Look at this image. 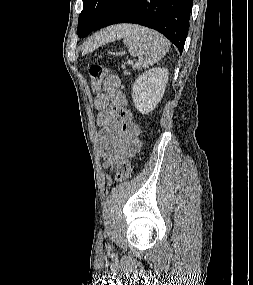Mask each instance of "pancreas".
<instances>
[{
	"instance_id": "obj_1",
	"label": "pancreas",
	"mask_w": 253,
	"mask_h": 285,
	"mask_svg": "<svg viewBox=\"0 0 253 285\" xmlns=\"http://www.w3.org/2000/svg\"><path fill=\"white\" fill-rule=\"evenodd\" d=\"M125 75H128L130 74V72H128L127 70L124 72Z\"/></svg>"
}]
</instances>
